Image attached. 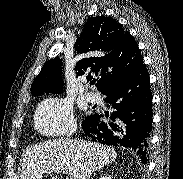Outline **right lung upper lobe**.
<instances>
[{"mask_svg":"<svg viewBox=\"0 0 183 179\" xmlns=\"http://www.w3.org/2000/svg\"><path fill=\"white\" fill-rule=\"evenodd\" d=\"M80 60L76 63L77 75L91 80L99 74L98 90L134 73L143 59L138 44L119 22L107 16L88 19L80 37L74 44ZM62 60L47 61L31 85V94L62 93Z\"/></svg>","mask_w":183,"mask_h":179,"instance_id":"obj_1","label":"right lung upper lobe"}]
</instances>
